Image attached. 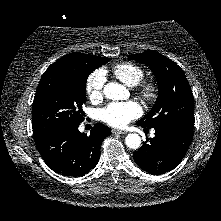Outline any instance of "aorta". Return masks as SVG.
I'll return each mask as SVG.
<instances>
[{"label":"aorta","instance_id":"1","mask_svg":"<svg viewBox=\"0 0 221 221\" xmlns=\"http://www.w3.org/2000/svg\"><path fill=\"white\" fill-rule=\"evenodd\" d=\"M103 93L106 98L111 100H123L129 96V91L126 87L115 82L106 84ZM125 143L130 149H137L141 145V138L136 133H130L126 136Z\"/></svg>","mask_w":221,"mask_h":221}]
</instances>
